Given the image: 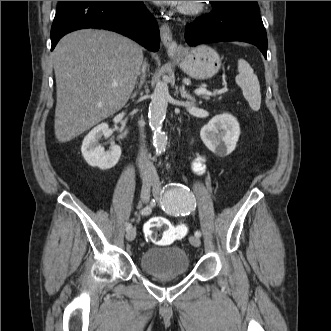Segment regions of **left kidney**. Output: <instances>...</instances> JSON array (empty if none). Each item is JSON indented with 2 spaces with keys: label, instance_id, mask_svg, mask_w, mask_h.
<instances>
[{
  "label": "left kidney",
  "instance_id": "obj_1",
  "mask_svg": "<svg viewBox=\"0 0 331 331\" xmlns=\"http://www.w3.org/2000/svg\"><path fill=\"white\" fill-rule=\"evenodd\" d=\"M200 136L209 150L224 157L236 148L240 136L239 123L231 114L217 115L202 127Z\"/></svg>",
  "mask_w": 331,
  "mask_h": 331
}]
</instances>
